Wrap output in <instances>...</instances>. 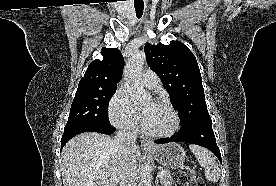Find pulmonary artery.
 Returning a JSON list of instances; mask_svg holds the SVG:
<instances>
[{
	"label": "pulmonary artery",
	"mask_w": 276,
	"mask_h": 186,
	"mask_svg": "<svg viewBox=\"0 0 276 186\" xmlns=\"http://www.w3.org/2000/svg\"><path fill=\"white\" fill-rule=\"evenodd\" d=\"M143 84L150 89L156 88L159 84V78L152 70H145L142 74Z\"/></svg>",
	"instance_id": "e3ab8cb5"
}]
</instances>
